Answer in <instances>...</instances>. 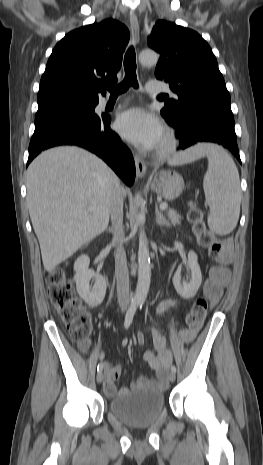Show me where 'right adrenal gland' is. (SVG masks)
<instances>
[{"instance_id":"obj_1","label":"right adrenal gland","mask_w":263,"mask_h":465,"mask_svg":"<svg viewBox=\"0 0 263 465\" xmlns=\"http://www.w3.org/2000/svg\"><path fill=\"white\" fill-rule=\"evenodd\" d=\"M108 232H112V228H108Z\"/></svg>"}]
</instances>
